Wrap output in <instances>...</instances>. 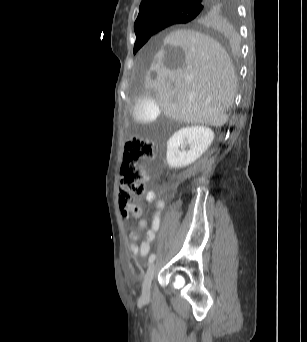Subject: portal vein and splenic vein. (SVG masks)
Returning a JSON list of instances; mask_svg holds the SVG:
<instances>
[{
    "label": "portal vein and splenic vein",
    "instance_id": "1",
    "mask_svg": "<svg viewBox=\"0 0 307 342\" xmlns=\"http://www.w3.org/2000/svg\"><path fill=\"white\" fill-rule=\"evenodd\" d=\"M187 78H192L191 74H187Z\"/></svg>",
    "mask_w": 307,
    "mask_h": 342
}]
</instances>
